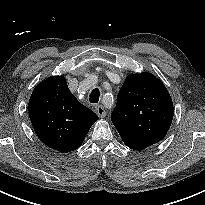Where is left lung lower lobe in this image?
<instances>
[{"label":"left lung lower lobe","mask_w":205,"mask_h":205,"mask_svg":"<svg viewBox=\"0 0 205 205\" xmlns=\"http://www.w3.org/2000/svg\"><path fill=\"white\" fill-rule=\"evenodd\" d=\"M120 134V133H119ZM123 142L125 143V145H127L129 148L133 149V150H143L149 146L137 141V140H134L130 137H127L126 135L124 134H120Z\"/></svg>","instance_id":"1"}]
</instances>
